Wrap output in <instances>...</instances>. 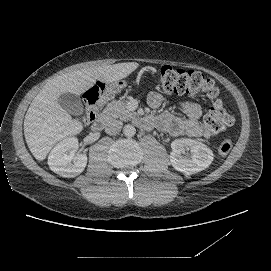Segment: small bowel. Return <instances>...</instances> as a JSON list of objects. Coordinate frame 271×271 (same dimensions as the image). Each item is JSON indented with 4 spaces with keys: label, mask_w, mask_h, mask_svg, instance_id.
<instances>
[{
    "label": "small bowel",
    "mask_w": 271,
    "mask_h": 271,
    "mask_svg": "<svg viewBox=\"0 0 271 271\" xmlns=\"http://www.w3.org/2000/svg\"><path fill=\"white\" fill-rule=\"evenodd\" d=\"M147 102L150 107L158 108L163 102V97L159 93L151 92L147 97ZM179 108L184 117H177L165 111L158 119L160 127L173 136L200 137L203 131L200 125L202 107L196 102L184 100L179 103Z\"/></svg>",
    "instance_id": "small-bowel-1"
}]
</instances>
